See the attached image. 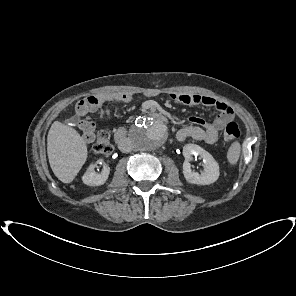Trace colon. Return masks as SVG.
<instances>
[{"mask_svg":"<svg viewBox=\"0 0 296 296\" xmlns=\"http://www.w3.org/2000/svg\"><path fill=\"white\" fill-rule=\"evenodd\" d=\"M240 135V130L235 122H229L223 132V138L226 141H233ZM92 150L95 154L101 156H110L113 151V146L110 142L109 134L106 131L99 132L95 140Z\"/></svg>","mask_w":296,"mask_h":296,"instance_id":"5ec220e1","label":"colon"}]
</instances>
